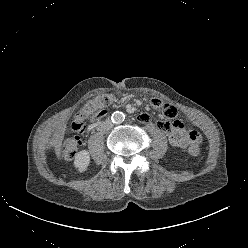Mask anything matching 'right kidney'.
<instances>
[{
	"label": "right kidney",
	"mask_w": 248,
	"mask_h": 248,
	"mask_svg": "<svg viewBox=\"0 0 248 248\" xmlns=\"http://www.w3.org/2000/svg\"><path fill=\"white\" fill-rule=\"evenodd\" d=\"M90 164V154L87 150H82L75 155L74 166L78 172H85Z\"/></svg>",
	"instance_id": "obj_1"
}]
</instances>
